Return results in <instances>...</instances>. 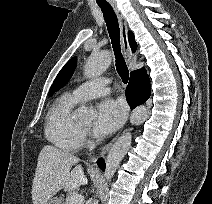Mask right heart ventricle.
Here are the masks:
<instances>
[{
  "label": "right heart ventricle",
  "mask_w": 212,
  "mask_h": 204,
  "mask_svg": "<svg viewBox=\"0 0 212 204\" xmlns=\"http://www.w3.org/2000/svg\"><path fill=\"white\" fill-rule=\"evenodd\" d=\"M79 103L72 94H64L55 101L47 114L45 137L61 150L74 152L81 146L83 131L74 118V109Z\"/></svg>",
  "instance_id": "1"
}]
</instances>
